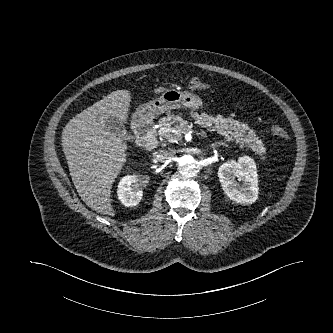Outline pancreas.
<instances>
[{
    "instance_id": "obj_1",
    "label": "pancreas",
    "mask_w": 333,
    "mask_h": 333,
    "mask_svg": "<svg viewBox=\"0 0 333 333\" xmlns=\"http://www.w3.org/2000/svg\"><path fill=\"white\" fill-rule=\"evenodd\" d=\"M191 117L201 127L209 131H218L227 141H235L240 148L246 147L255 152L256 155L262 156L264 148L259 138L247 124L234 120L231 117L223 118L222 116H209L202 113H190ZM180 116L168 114L159 120V135L173 143L182 140V135L190 131L189 125H186Z\"/></svg>"
}]
</instances>
